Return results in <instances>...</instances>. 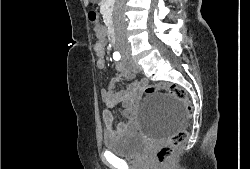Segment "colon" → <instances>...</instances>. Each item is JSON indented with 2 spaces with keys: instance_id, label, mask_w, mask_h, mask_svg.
<instances>
[{
  "instance_id": "colon-1",
  "label": "colon",
  "mask_w": 250,
  "mask_h": 169,
  "mask_svg": "<svg viewBox=\"0 0 250 169\" xmlns=\"http://www.w3.org/2000/svg\"><path fill=\"white\" fill-rule=\"evenodd\" d=\"M88 18L93 23L96 30L100 29L98 24V14L95 10H90ZM155 90H165V93H170L176 100L180 101L181 104H185L186 110L184 115H187V120H192L194 115V102H191L189 96H187L186 88H179L174 84L171 85H145L143 95H150ZM190 130L188 126H183V130H177V133L171 134L164 145H160L159 149L156 150V160L159 169H176L175 161L172 159V155H178V150H183V145L186 139L189 138Z\"/></svg>"
}]
</instances>
